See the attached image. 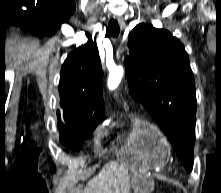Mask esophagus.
I'll use <instances>...</instances> for the list:
<instances>
[{
	"instance_id": "esophagus-1",
	"label": "esophagus",
	"mask_w": 221,
	"mask_h": 193,
	"mask_svg": "<svg viewBox=\"0 0 221 193\" xmlns=\"http://www.w3.org/2000/svg\"><path fill=\"white\" fill-rule=\"evenodd\" d=\"M116 19L121 23V25H124L123 19L121 17H116Z\"/></svg>"
}]
</instances>
